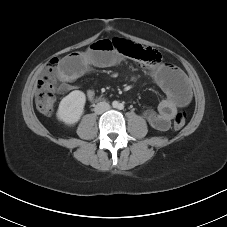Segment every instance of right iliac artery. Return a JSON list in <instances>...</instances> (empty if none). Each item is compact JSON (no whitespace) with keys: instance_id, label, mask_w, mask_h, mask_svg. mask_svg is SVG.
<instances>
[{"instance_id":"82829eb1","label":"right iliac artery","mask_w":227,"mask_h":227,"mask_svg":"<svg viewBox=\"0 0 227 227\" xmlns=\"http://www.w3.org/2000/svg\"><path fill=\"white\" fill-rule=\"evenodd\" d=\"M113 105H115V106H116V105H117V102H114V103H113Z\"/></svg>"}]
</instances>
